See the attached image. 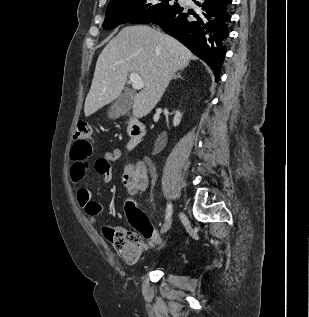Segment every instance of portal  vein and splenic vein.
<instances>
[{"mask_svg": "<svg viewBox=\"0 0 309 317\" xmlns=\"http://www.w3.org/2000/svg\"><path fill=\"white\" fill-rule=\"evenodd\" d=\"M130 81L132 82V87L136 90L142 89L144 87L142 78L137 73H130Z\"/></svg>", "mask_w": 309, "mask_h": 317, "instance_id": "18ae733b", "label": "portal vein and splenic vein"}]
</instances>
